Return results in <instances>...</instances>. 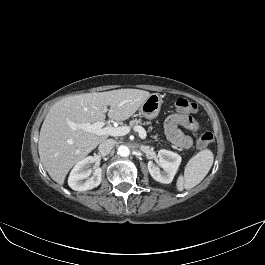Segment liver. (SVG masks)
I'll list each match as a JSON object with an SVG mask.
<instances>
[{
    "label": "liver",
    "instance_id": "obj_1",
    "mask_svg": "<svg viewBox=\"0 0 265 265\" xmlns=\"http://www.w3.org/2000/svg\"><path fill=\"white\" fill-rule=\"evenodd\" d=\"M151 94L139 89H118L100 93H85L56 102L42 124L38 142L40 160L50 177L63 184L69 170L86 157L107 135H97L75 124H92L108 117L114 121L129 119Z\"/></svg>",
    "mask_w": 265,
    "mask_h": 265
}]
</instances>
